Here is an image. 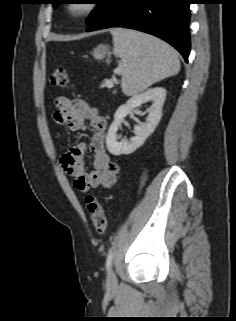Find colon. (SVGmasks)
<instances>
[{
	"label": "colon",
	"mask_w": 236,
	"mask_h": 321,
	"mask_svg": "<svg viewBox=\"0 0 236 321\" xmlns=\"http://www.w3.org/2000/svg\"><path fill=\"white\" fill-rule=\"evenodd\" d=\"M49 81L53 86L67 87L69 85V77L66 69L61 66L55 68L49 77ZM86 203L95 231L103 234L107 229V218L101 200L94 194H88Z\"/></svg>",
	"instance_id": "colon-1"
}]
</instances>
